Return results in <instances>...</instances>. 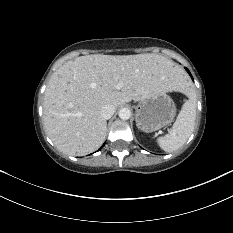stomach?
Returning <instances> with one entry per match:
<instances>
[{
	"label": "stomach",
	"mask_w": 233,
	"mask_h": 233,
	"mask_svg": "<svg viewBox=\"0 0 233 233\" xmlns=\"http://www.w3.org/2000/svg\"><path fill=\"white\" fill-rule=\"evenodd\" d=\"M176 114L173 100L166 93L141 100L136 107V125L144 132H153L169 125Z\"/></svg>",
	"instance_id": "1"
}]
</instances>
